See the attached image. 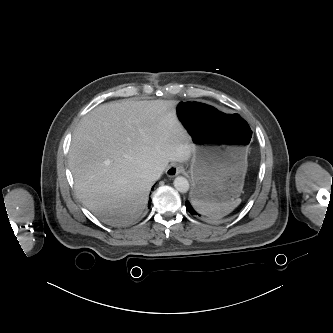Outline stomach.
Instances as JSON below:
<instances>
[{"label":"stomach","mask_w":333,"mask_h":333,"mask_svg":"<svg viewBox=\"0 0 333 333\" xmlns=\"http://www.w3.org/2000/svg\"><path fill=\"white\" fill-rule=\"evenodd\" d=\"M176 114L195 146L190 168L192 198L215 203L239 199L253 140L248 124L236 112L200 100L179 102Z\"/></svg>","instance_id":"0dacf381"}]
</instances>
